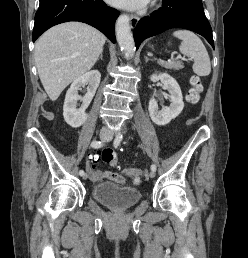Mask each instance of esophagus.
I'll list each match as a JSON object with an SVG mask.
<instances>
[{
    "label": "esophagus",
    "mask_w": 248,
    "mask_h": 258,
    "mask_svg": "<svg viewBox=\"0 0 248 258\" xmlns=\"http://www.w3.org/2000/svg\"><path fill=\"white\" fill-rule=\"evenodd\" d=\"M138 21H139L138 16L133 15V14L130 15V24H131L132 28H134L137 25Z\"/></svg>",
    "instance_id": "esophagus-1"
}]
</instances>
